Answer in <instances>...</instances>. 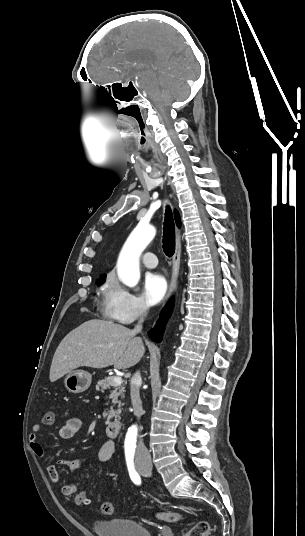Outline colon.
Returning a JSON list of instances; mask_svg holds the SVG:
<instances>
[{"mask_svg":"<svg viewBox=\"0 0 305 536\" xmlns=\"http://www.w3.org/2000/svg\"><path fill=\"white\" fill-rule=\"evenodd\" d=\"M46 421L51 423L54 419V412L48 411L46 413ZM88 498L87 492L85 490H82L77 493L76 498L72 500V503L76 506H79V509L83 511L82 506L84 503H86ZM102 512L105 514H113L114 513V505L111 501H104L101 505ZM155 517L159 520L171 522V523H177L180 521H183L185 518L179 514V513H171V512H157L155 513ZM210 528L209 525L205 521H199L194 527H192L185 536H210Z\"/></svg>","mask_w":305,"mask_h":536,"instance_id":"obj_1","label":"colon"}]
</instances>
